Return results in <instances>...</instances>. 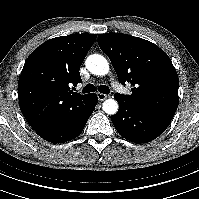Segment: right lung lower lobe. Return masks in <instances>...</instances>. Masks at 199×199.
Instances as JSON below:
<instances>
[{
  "label": "right lung lower lobe",
  "mask_w": 199,
  "mask_h": 199,
  "mask_svg": "<svg viewBox=\"0 0 199 199\" xmlns=\"http://www.w3.org/2000/svg\"><path fill=\"white\" fill-rule=\"evenodd\" d=\"M98 102L97 95L92 93L87 103L76 114L55 127L43 129L36 133L44 140L52 143H64L76 138L84 129L86 122Z\"/></svg>",
  "instance_id": "right-lung-lower-lobe-1"
}]
</instances>
